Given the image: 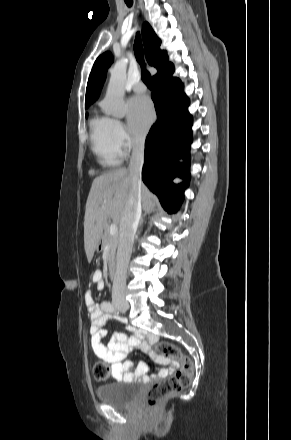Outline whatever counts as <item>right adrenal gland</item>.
Wrapping results in <instances>:
<instances>
[{
  "label": "right adrenal gland",
  "instance_id": "right-adrenal-gland-1",
  "mask_svg": "<svg viewBox=\"0 0 291 440\" xmlns=\"http://www.w3.org/2000/svg\"><path fill=\"white\" fill-rule=\"evenodd\" d=\"M145 216H146V214H144L143 217H141V220H140V226L142 225Z\"/></svg>",
  "mask_w": 291,
  "mask_h": 440
}]
</instances>
